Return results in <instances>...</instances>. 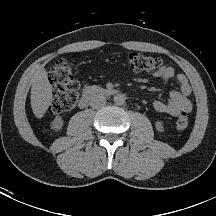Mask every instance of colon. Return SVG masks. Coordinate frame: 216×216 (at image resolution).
Here are the masks:
<instances>
[{
  "mask_svg": "<svg viewBox=\"0 0 216 216\" xmlns=\"http://www.w3.org/2000/svg\"><path fill=\"white\" fill-rule=\"evenodd\" d=\"M126 61L129 68L137 72L155 73L164 66L160 58L138 52L130 53ZM50 79L57 88L52 95L50 111L57 114L73 109L79 96L80 84L74 78L69 62L65 58H59L55 61ZM188 124L189 118L185 113L180 114L175 122L178 130H185Z\"/></svg>",
  "mask_w": 216,
  "mask_h": 216,
  "instance_id": "obj_1",
  "label": "colon"
}]
</instances>
